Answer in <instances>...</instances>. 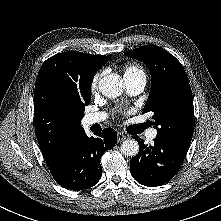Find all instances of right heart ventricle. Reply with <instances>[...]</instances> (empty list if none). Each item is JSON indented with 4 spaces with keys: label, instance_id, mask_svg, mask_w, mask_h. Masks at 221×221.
<instances>
[{
    "label": "right heart ventricle",
    "instance_id": "right-heart-ventricle-1",
    "mask_svg": "<svg viewBox=\"0 0 221 221\" xmlns=\"http://www.w3.org/2000/svg\"><path fill=\"white\" fill-rule=\"evenodd\" d=\"M124 76L128 77H145L146 78V73L143 67L137 63V62H128L124 66Z\"/></svg>",
    "mask_w": 221,
    "mask_h": 221
}]
</instances>
